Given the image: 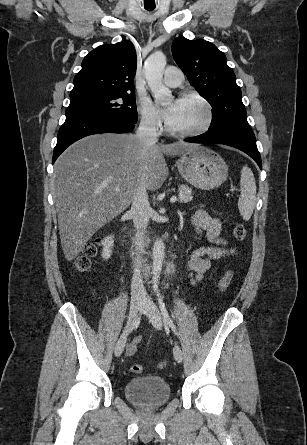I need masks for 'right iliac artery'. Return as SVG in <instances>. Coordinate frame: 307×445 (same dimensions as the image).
<instances>
[{
    "label": "right iliac artery",
    "instance_id": "82829eb1",
    "mask_svg": "<svg viewBox=\"0 0 307 445\" xmlns=\"http://www.w3.org/2000/svg\"><path fill=\"white\" fill-rule=\"evenodd\" d=\"M142 310L140 311V315L137 316V318L133 321L131 327L127 330V332H131L133 329L137 328L140 323Z\"/></svg>",
    "mask_w": 307,
    "mask_h": 445
}]
</instances>
